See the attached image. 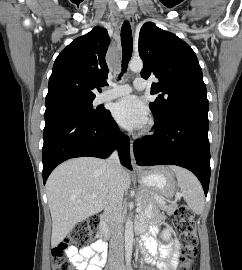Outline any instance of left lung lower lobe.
I'll return each mask as SVG.
<instances>
[{
	"label": "left lung lower lobe",
	"mask_w": 242,
	"mask_h": 270,
	"mask_svg": "<svg viewBox=\"0 0 242 270\" xmlns=\"http://www.w3.org/2000/svg\"><path fill=\"white\" fill-rule=\"evenodd\" d=\"M207 112L185 111L158 122L155 134L133 144L139 166L178 165L192 171L207 195L210 180V149Z\"/></svg>",
	"instance_id": "left-lung-lower-lobe-1"
}]
</instances>
